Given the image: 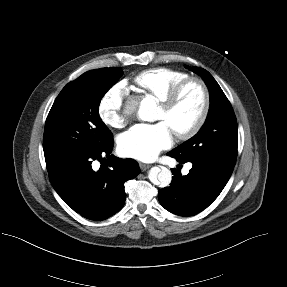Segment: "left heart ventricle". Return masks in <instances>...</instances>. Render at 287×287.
Listing matches in <instances>:
<instances>
[{"instance_id": "left-heart-ventricle-1", "label": "left heart ventricle", "mask_w": 287, "mask_h": 287, "mask_svg": "<svg viewBox=\"0 0 287 287\" xmlns=\"http://www.w3.org/2000/svg\"><path fill=\"white\" fill-rule=\"evenodd\" d=\"M203 104V96L195 84L188 86L183 92L177 106L170 113H165L160 107L157 120L164 122L174 133L191 127L197 120Z\"/></svg>"}]
</instances>
